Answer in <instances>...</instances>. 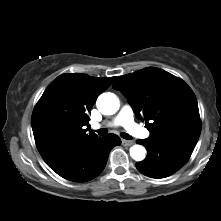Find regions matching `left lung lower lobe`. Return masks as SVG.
<instances>
[{
  "instance_id": "left-lung-lower-lobe-1",
  "label": "left lung lower lobe",
  "mask_w": 221,
  "mask_h": 221,
  "mask_svg": "<svg viewBox=\"0 0 221 221\" xmlns=\"http://www.w3.org/2000/svg\"><path fill=\"white\" fill-rule=\"evenodd\" d=\"M198 138L176 137L164 140L140 139L147 149L146 158L136 163L137 169L151 178H165L180 169L190 158Z\"/></svg>"
}]
</instances>
